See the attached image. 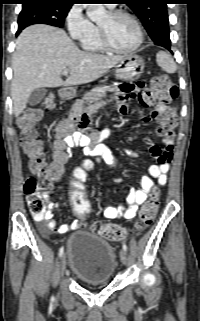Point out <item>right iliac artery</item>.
<instances>
[{
	"label": "right iliac artery",
	"mask_w": 200,
	"mask_h": 321,
	"mask_svg": "<svg viewBox=\"0 0 200 321\" xmlns=\"http://www.w3.org/2000/svg\"><path fill=\"white\" fill-rule=\"evenodd\" d=\"M64 252V247L62 246L59 250V257H61L63 255ZM54 298L52 297L51 300H53Z\"/></svg>",
	"instance_id": "obj_1"
}]
</instances>
